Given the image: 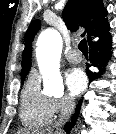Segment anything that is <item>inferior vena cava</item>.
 <instances>
[{
	"label": "inferior vena cava",
	"instance_id": "602c4592",
	"mask_svg": "<svg viewBox=\"0 0 116 134\" xmlns=\"http://www.w3.org/2000/svg\"><path fill=\"white\" fill-rule=\"evenodd\" d=\"M74 106L75 102L73 98L67 97L65 100L64 107L61 110V114L59 115L58 120L55 122L53 126L54 128L59 130L67 122V120L70 118L73 112Z\"/></svg>",
	"mask_w": 116,
	"mask_h": 134
}]
</instances>
